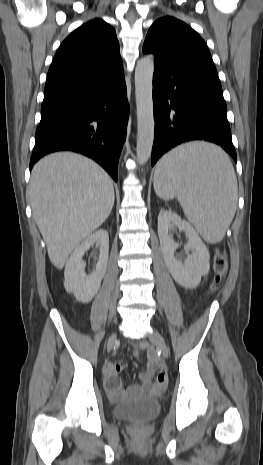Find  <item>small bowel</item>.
Returning <instances> with one entry per match:
<instances>
[{
	"label": "small bowel",
	"mask_w": 263,
	"mask_h": 465,
	"mask_svg": "<svg viewBox=\"0 0 263 465\" xmlns=\"http://www.w3.org/2000/svg\"><path fill=\"white\" fill-rule=\"evenodd\" d=\"M142 347L143 345L135 347L134 353L136 356ZM123 368L124 363L122 362H108L104 366L105 387L113 399H120L127 392L156 393L163 390L166 385L167 374L163 370L159 371L155 380L152 379V375L158 369V366L155 362H151L149 369L141 374L142 383L140 385H132L125 390L118 376Z\"/></svg>",
	"instance_id": "obj_1"
}]
</instances>
